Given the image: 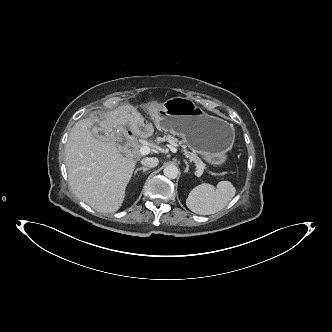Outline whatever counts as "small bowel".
Listing matches in <instances>:
<instances>
[{"mask_svg": "<svg viewBox=\"0 0 332 332\" xmlns=\"http://www.w3.org/2000/svg\"><path fill=\"white\" fill-rule=\"evenodd\" d=\"M148 114L151 117H158L161 114V107L158 104H151L148 107ZM113 113L108 108H101L98 111H93L88 116V121L93 126H98L101 123H108L112 120ZM133 130L136 135L140 137H149L153 134V126L145 124L142 120L133 124Z\"/></svg>", "mask_w": 332, "mask_h": 332, "instance_id": "small-bowel-1", "label": "small bowel"}]
</instances>
